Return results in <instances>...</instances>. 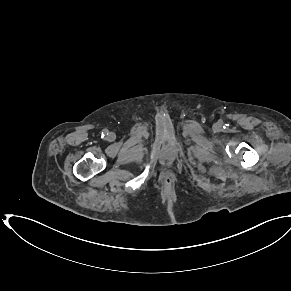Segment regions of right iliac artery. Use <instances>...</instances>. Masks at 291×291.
Here are the masks:
<instances>
[{
    "label": "right iliac artery",
    "mask_w": 291,
    "mask_h": 291,
    "mask_svg": "<svg viewBox=\"0 0 291 291\" xmlns=\"http://www.w3.org/2000/svg\"><path fill=\"white\" fill-rule=\"evenodd\" d=\"M105 133V130H103L102 134Z\"/></svg>",
    "instance_id": "right-iliac-artery-1"
}]
</instances>
